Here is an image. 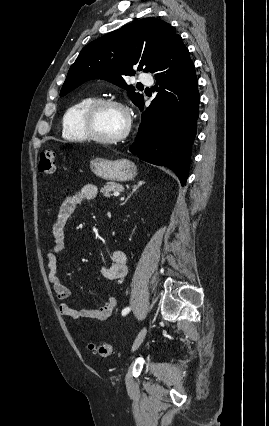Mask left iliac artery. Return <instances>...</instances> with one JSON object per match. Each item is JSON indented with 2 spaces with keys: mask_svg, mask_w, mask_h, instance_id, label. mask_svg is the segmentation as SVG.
<instances>
[{
  "mask_svg": "<svg viewBox=\"0 0 269 426\" xmlns=\"http://www.w3.org/2000/svg\"><path fill=\"white\" fill-rule=\"evenodd\" d=\"M131 308L130 307H126L122 310V316L127 315L130 312Z\"/></svg>",
  "mask_w": 269,
  "mask_h": 426,
  "instance_id": "1",
  "label": "left iliac artery"
}]
</instances>
